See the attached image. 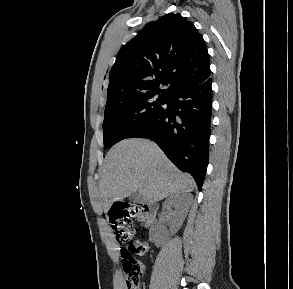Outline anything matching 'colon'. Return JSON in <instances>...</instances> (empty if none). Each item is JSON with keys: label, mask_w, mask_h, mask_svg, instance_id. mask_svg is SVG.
<instances>
[{"label": "colon", "mask_w": 293, "mask_h": 289, "mask_svg": "<svg viewBox=\"0 0 293 289\" xmlns=\"http://www.w3.org/2000/svg\"><path fill=\"white\" fill-rule=\"evenodd\" d=\"M145 214V209L139 204H126L116 202L113 204L109 219L117 239L122 242H131L133 238L132 223L140 220ZM147 252V244L143 241H134L128 248L121 250L126 283L129 289H138L145 273L144 264L137 260L133 254L144 255Z\"/></svg>", "instance_id": "1"}]
</instances>
